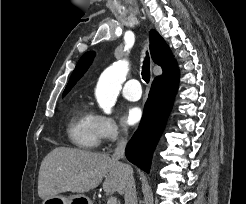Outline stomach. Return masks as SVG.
Wrapping results in <instances>:
<instances>
[{
    "label": "stomach",
    "mask_w": 246,
    "mask_h": 204,
    "mask_svg": "<svg viewBox=\"0 0 246 204\" xmlns=\"http://www.w3.org/2000/svg\"><path fill=\"white\" fill-rule=\"evenodd\" d=\"M43 204H92L89 197L79 194L70 197L56 195L44 199Z\"/></svg>",
    "instance_id": "obj_1"
}]
</instances>
